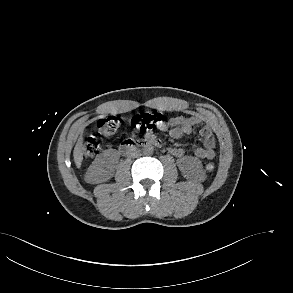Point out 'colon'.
<instances>
[{"mask_svg":"<svg viewBox=\"0 0 293 293\" xmlns=\"http://www.w3.org/2000/svg\"><path fill=\"white\" fill-rule=\"evenodd\" d=\"M165 122V115L158 112H142L133 115L129 124L134 129L145 132L158 128ZM122 120L118 116H107L97 121L96 129L87 136L83 145V156L92 159L98 155L102 148V138L114 134L121 126ZM213 163L205 165L206 172L214 170Z\"/></svg>","mask_w":293,"mask_h":293,"instance_id":"5ec220e1","label":"colon"}]
</instances>
